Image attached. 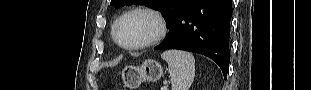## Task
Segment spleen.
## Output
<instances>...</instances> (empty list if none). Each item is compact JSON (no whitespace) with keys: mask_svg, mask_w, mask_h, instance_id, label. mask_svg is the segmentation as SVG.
<instances>
[{"mask_svg":"<svg viewBox=\"0 0 311 90\" xmlns=\"http://www.w3.org/2000/svg\"><path fill=\"white\" fill-rule=\"evenodd\" d=\"M161 57L168 63L172 90H188L195 77L193 54L181 50H167Z\"/></svg>","mask_w":311,"mask_h":90,"instance_id":"obj_1","label":"spleen"}]
</instances>
